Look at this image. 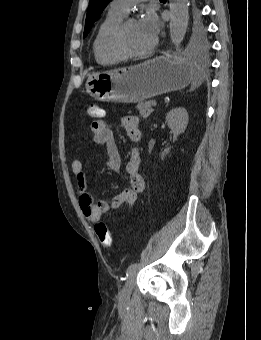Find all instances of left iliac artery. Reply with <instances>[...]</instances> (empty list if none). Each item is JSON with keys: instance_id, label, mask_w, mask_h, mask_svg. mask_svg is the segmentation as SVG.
<instances>
[{"instance_id": "44dca946", "label": "left iliac artery", "mask_w": 261, "mask_h": 340, "mask_svg": "<svg viewBox=\"0 0 261 340\" xmlns=\"http://www.w3.org/2000/svg\"><path fill=\"white\" fill-rule=\"evenodd\" d=\"M139 266V263H133L131 264L126 271V275L129 276L134 270L137 269V267Z\"/></svg>"}]
</instances>
